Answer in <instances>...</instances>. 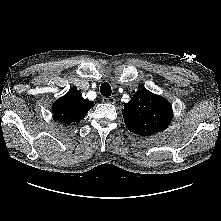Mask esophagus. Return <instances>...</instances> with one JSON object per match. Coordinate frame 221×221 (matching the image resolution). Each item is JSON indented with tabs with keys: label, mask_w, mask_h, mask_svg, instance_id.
<instances>
[{
	"label": "esophagus",
	"mask_w": 221,
	"mask_h": 221,
	"mask_svg": "<svg viewBox=\"0 0 221 221\" xmlns=\"http://www.w3.org/2000/svg\"><path fill=\"white\" fill-rule=\"evenodd\" d=\"M115 98L110 96V97H103L102 98V102L104 103H110V104H114L115 103Z\"/></svg>",
	"instance_id": "obj_1"
}]
</instances>
